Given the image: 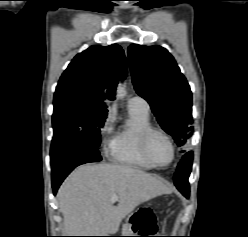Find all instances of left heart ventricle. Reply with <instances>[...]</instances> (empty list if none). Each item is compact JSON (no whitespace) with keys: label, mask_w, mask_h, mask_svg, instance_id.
<instances>
[{"label":"left heart ventricle","mask_w":248,"mask_h":237,"mask_svg":"<svg viewBox=\"0 0 248 237\" xmlns=\"http://www.w3.org/2000/svg\"><path fill=\"white\" fill-rule=\"evenodd\" d=\"M148 151L152 160L159 165H165L171 158V147L160 134H153L150 137Z\"/></svg>","instance_id":"obj_1"}]
</instances>
